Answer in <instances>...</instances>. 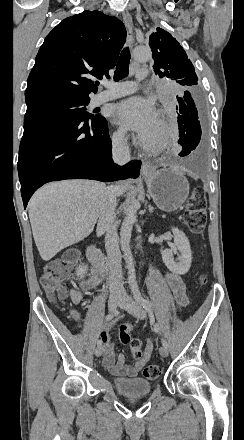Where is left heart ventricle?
<instances>
[{
  "mask_svg": "<svg viewBox=\"0 0 244 440\" xmlns=\"http://www.w3.org/2000/svg\"><path fill=\"white\" fill-rule=\"evenodd\" d=\"M164 130H165V127H164V125L162 123V119H161L160 116H158V120H157V123H156L155 128H154L153 136L155 138H159L163 134Z\"/></svg>",
  "mask_w": 244,
  "mask_h": 440,
  "instance_id": "1",
  "label": "left heart ventricle"
}]
</instances>
